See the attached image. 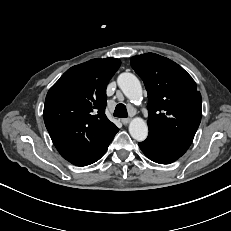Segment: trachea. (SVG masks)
<instances>
[{"mask_svg":"<svg viewBox=\"0 0 231 231\" xmlns=\"http://www.w3.org/2000/svg\"><path fill=\"white\" fill-rule=\"evenodd\" d=\"M114 116L119 118H126L128 117V112L126 106L122 103L118 104L114 111Z\"/></svg>","mask_w":231,"mask_h":231,"instance_id":"obj_1","label":"trachea"}]
</instances>
